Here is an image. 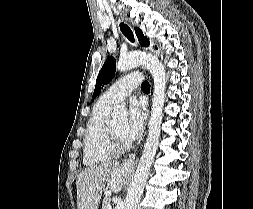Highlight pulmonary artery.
<instances>
[{
	"instance_id": "pulmonary-artery-1",
	"label": "pulmonary artery",
	"mask_w": 253,
	"mask_h": 209,
	"mask_svg": "<svg viewBox=\"0 0 253 209\" xmlns=\"http://www.w3.org/2000/svg\"><path fill=\"white\" fill-rule=\"evenodd\" d=\"M143 81L140 72H131L114 83L101 95V100L109 105H116L126 98Z\"/></svg>"
}]
</instances>
